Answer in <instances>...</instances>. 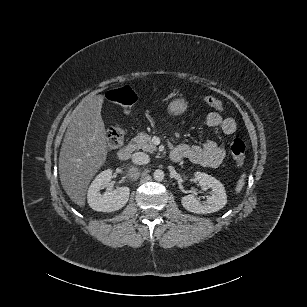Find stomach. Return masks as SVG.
I'll use <instances>...</instances> for the list:
<instances>
[{
  "label": "stomach",
  "mask_w": 307,
  "mask_h": 307,
  "mask_svg": "<svg viewBox=\"0 0 307 307\" xmlns=\"http://www.w3.org/2000/svg\"><path fill=\"white\" fill-rule=\"evenodd\" d=\"M188 102L184 98L172 100L167 106V112L171 116H180L188 110Z\"/></svg>",
  "instance_id": "0dacf381"
}]
</instances>
